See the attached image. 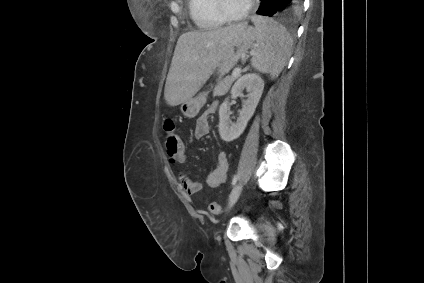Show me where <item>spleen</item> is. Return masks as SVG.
I'll return each instance as SVG.
<instances>
[{"label": "spleen", "mask_w": 424, "mask_h": 283, "mask_svg": "<svg viewBox=\"0 0 424 283\" xmlns=\"http://www.w3.org/2000/svg\"><path fill=\"white\" fill-rule=\"evenodd\" d=\"M258 47L251 59L252 67L275 79L283 70L292 50V38L286 28L273 19L254 16Z\"/></svg>", "instance_id": "spleen-1"}]
</instances>
